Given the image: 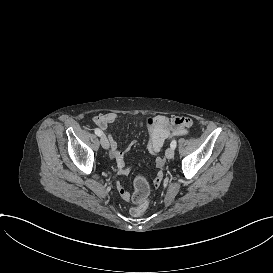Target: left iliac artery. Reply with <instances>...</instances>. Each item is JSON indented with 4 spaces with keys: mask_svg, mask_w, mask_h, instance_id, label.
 Wrapping results in <instances>:
<instances>
[{
    "mask_svg": "<svg viewBox=\"0 0 273 273\" xmlns=\"http://www.w3.org/2000/svg\"><path fill=\"white\" fill-rule=\"evenodd\" d=\"M176 144H177L176 140H175V139L172 140V142H171V144H170L171 148L175 149Z\"/></svg>",
    "mask_w": 273,
    "mask_h": 273,
    "instance_id": "obj_1",
    "label": "left iliac artery"
}]
</instances>
